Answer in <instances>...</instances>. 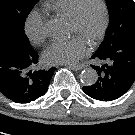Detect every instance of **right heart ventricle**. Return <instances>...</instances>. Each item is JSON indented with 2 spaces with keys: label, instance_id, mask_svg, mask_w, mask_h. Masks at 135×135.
Listing matches in <instances>:
<instances>
[{
  "label": "right heart ventricle",
  "instance_id": "1",
  "mask_svg": "<svg viewBox=\"0 0 135 135\" xmlns=\"http://www.w3.org/2000/svg\"><path fill=\"white\" fill-rule=\"evenodd\" d=\"M81 0H50L46 7L58 15L70 18Z\"/></svg>",
  "mask_w": 135,
  "mask_h": 135
}]
</instances>
